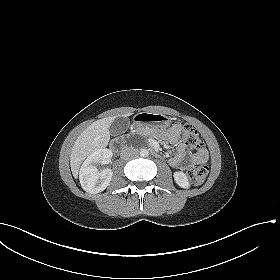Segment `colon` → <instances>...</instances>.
Segmentation results:
<instances>
[{"label":"colon","instance_id":"colon-1","mask_svg":"<svg viewBox=\"0 0 280 280\" xmlns=\"http://www.w3.org/2000/svg\"><path fill=\"white\" fill-rule=\"evenodd\" d=\"M181 136L184 138L187 146L193 150H200L203 146L202 140L199 137L198 131L190 125L181 127ZM208 174L206 165H197L187 170V176L191 183L201 184L205 181Z\"/></svg>","mask_w":280,"mask_h":280}]
</instances>
